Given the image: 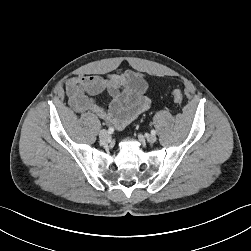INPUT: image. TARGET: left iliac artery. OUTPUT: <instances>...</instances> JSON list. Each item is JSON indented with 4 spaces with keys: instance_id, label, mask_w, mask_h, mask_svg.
Segmentation results:
<instances>
[{
    "instance_id": "44dca946",
    "label": "left iliac artery",
    "mask_w": 251,
    "mask_h": 251,
    "mask_svg": "<svg viewBox=\"0 0 251 251\" xmlns=\"http://www.w3.org/2000/svg\"><path fill=\"white\" fill-rule=\"evenodd\" d=\"M151 134L155 135L156 131L155 130H151Z\"/></svg>"
}]
</instances>
